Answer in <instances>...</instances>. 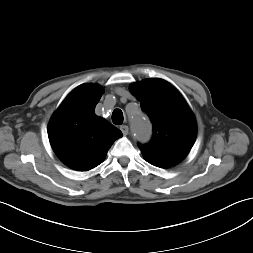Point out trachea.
<instances>
[{"mask_svg":"<svg viewBox=\"0 0 253 253\" xmlns=\"http://www.w3.org/2000/svg\"><path fill=\"white\" fill-rule=\"evenodd\" d=\"M123 113L120 109H115L112 113V121L116 125H121L123 123Z\"/></svg>","mask_w":253,"mask_h":253,"instance_id":"obj_1","label":"trachea"}]
</instances>
